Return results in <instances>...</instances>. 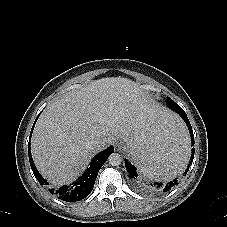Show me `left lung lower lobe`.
<instances>
[{
    "label": "left lung lower lobe",
    "instance_id": "obj_1",
    "mask_svg": "<svg viewBox=\"0 0 227 227\" xmlns=\"http://www.w3.org/2000/svg\"><path fill=\"white\" fill-rule=\"evenodd\" d=\"M166 103L168 105L169 108H171L173 111L177 112L182 119L185 121L190 136H191V142L192 145L194 144V135H193V130L191 127V124L188 120V117L186 115V113L184 112V110L178 105L176 104L171 98L167 97L166 99ZM194 151L195 149L192 148V152H191V156H190V161L188 164V168L185 170V172L183 174H186L189 170V166L192 164L193 162V158H194ZM133 164H135L134 162L130 163L128 160L125 159V166H126V170L129 174V178L133 184V186L145 193H149V194H158V193H163V192H167L169 191L171 188H173L175 185L178 184L177 179H174L168 183H161V182H156V183H152V182H146L144 181L141 177L138 176V171L136 166H134Z\"/></svg>",
    "mask_w": 227,
    "mask_h": 227
}]
</instances>
